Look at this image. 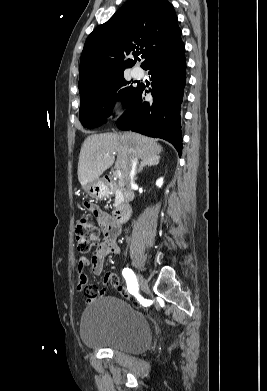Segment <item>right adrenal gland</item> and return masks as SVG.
<instances>
[{
    "label": "right adrenal gland",
    "instance_id": "obj_1",
    "mask_svg": "<svg viewBox=\"0 0 267 391\" xmlns=\"http://www.w3.org/2000/svg\"><path fill=\"white\" fill-rule=\"evenodd\" d=\"M158 164H159V158H155L153 160H142V162L140 163V166L137 170V173H140L143 170V168L146 166H155Z\"/></svg>",
    "mask_w": 267,
    "mask_h": 391
}]
</instances>
